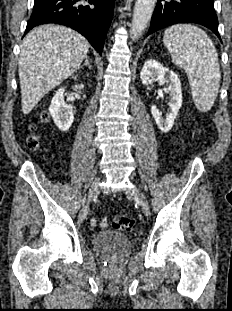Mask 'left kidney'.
<instances>
[{"instance_id": "obj_1", "label": "left kidney", "mask_w": 232, "mask_h": 311, "mask_svg": "<svg viewBox=\"0 0 232 311\" xmlns=\"http://www.w3.org/2000/svg\"><path fill=\"white\" fill-rule=\"evenodd\" d=\"M140 78L144 85L153 84L156 81H164L168 85L167 91L170 94V101L166 118L162 117V113L156 106L151 107V113L162 132L170 131L182 106L181 82L178 75L163 67L158 61L150 59L144 64Z\"/></svg>"}]
</instances>
